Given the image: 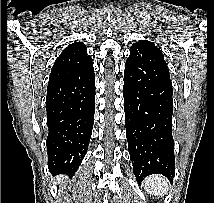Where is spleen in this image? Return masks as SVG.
Returning <instances> with one entry per match:
<instances>
[{"instance_id":"3e777b00","label":"spleen","mask_w":214,"mask_h":203,"mask_svg":"<svg viewBox=\"0 0 214 203\" xmlns=\"http://www.w3.org/2000/svg\"><path fill=\"white\" fill-rule=\"evenodd\" d=\"M149 194L163 196L168 191L167 179L160 175H152L145 180Z\"/></svg>"}]
</instances>
